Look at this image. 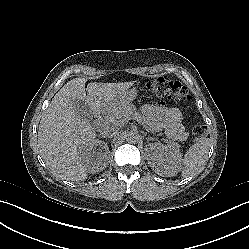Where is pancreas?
I'll return each instance as SVG.
<instances>
[{
  "mask_svg": "<svg viewBox=\"0 0 249 249\" xmlns=\"http://www.w3.org/2000/svg\"><path fill=\"white\" fill-rule=\"evenodd\" d=\"M135 110L136 109L132 106H125L121 111H119L118 115L125 118V117L131 116V115H135ZM117 118H119V117H117ZM143 124L149 130H151V131L153 130V126H152L150 121L143 119ZM172 145L175 146V144H172ZM173 149H174V147H173Z\"/></svg>",
  "mask_w": 249,
  "mask_h": 249,
  "instance_id": "1",
  "label": "pancreas"
}]
</instances>
